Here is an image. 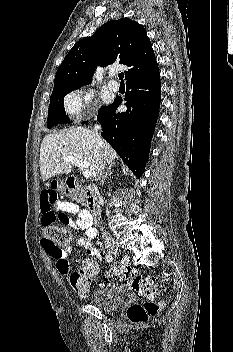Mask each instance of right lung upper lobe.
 Returning a JSON list of instances; mask_svg holds the SVG:
<instances>
[{
	"label": "right lung upper lobe",
	"instance_id": "1",
	"mask_svg": "<svg viewBox=\"0 0 233 352\" xmlns=\"http://www.w3.org/2000/svg\"><path fill=\"white\" fill-rule=\"evenodd\" d=\"M128 67L127 82L158 68L146 30L128 18L105 23L91 37L78 41L59 66L54 87L91 82L95 68L113 62Z\"/></svg>",
	"mask_w": 233,
	"mask_h": 352
}]
</instances>
